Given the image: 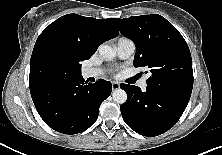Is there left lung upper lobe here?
<instances>
[{
  "mask_svg": "<svg viewBox=\"0 0 222 155\" xmlns=\"http://www.w3.org/2000/svg\"><path fill=\"white\" fill-rule=\"evenodd\" d=\"M120 32L136 45L135 67L151 72L147 86L186 97L193 88L192 59L180 32L158 14L114 19ZM147 73V72H145Z\"/></svg>",
  "mask_w": 222,
  "mask_h": 155,
  "instance_id": "5c2ea615",
  "label": "left lung upper lobe"
}]
</instances>
